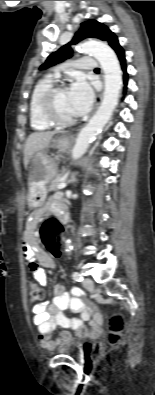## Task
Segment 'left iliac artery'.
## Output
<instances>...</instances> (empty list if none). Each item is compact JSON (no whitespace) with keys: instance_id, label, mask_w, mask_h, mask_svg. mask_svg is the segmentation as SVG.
<instances>
[{"instance_id":"obj_1","label":"left iliac artery","mask_w":155,"mask_h":395,"mask_svg":"<svg viewBox=\"0 0 155 395\" xmlns=\"http://www.w3.org/2000/svg\"><path fill=\"white\" fill-rule=\"evenodd\" d=\"M72 277L77 282L83 281V277L79 272H73Z\"/></svg>"}]
</instances>
